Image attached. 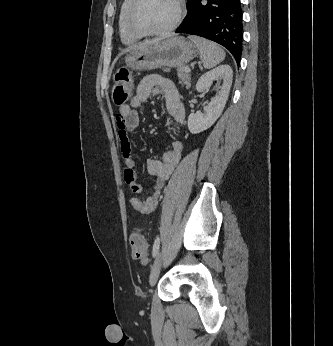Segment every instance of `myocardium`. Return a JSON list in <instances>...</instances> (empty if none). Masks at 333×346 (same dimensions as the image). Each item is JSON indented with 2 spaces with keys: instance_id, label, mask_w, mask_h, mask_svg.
<instances>
[{
  "instance_id": "myocardium-1",
  "label": "myocardium",
  "mask_w": 333,
  "mask_h": 346,
  "mask_svg": "<svg viewBox=\"0 0 333 346\" xmlns=\"http://www.w3.org/2000/svg\"><path fill=\"white\" fill-rule=\"evenodd\" d=\"M143 0H133V3L130 7L128 17H127V25L128 28L134 33L139 36H160L167 34L171 31H173L180 22L183 19L184 11H185V4L184 0H175L176 3V15L174 17V20L172 23L160 30H147L143 27H141L137 22V12L142 4Z\"/></svg>"
}]
</instances>
